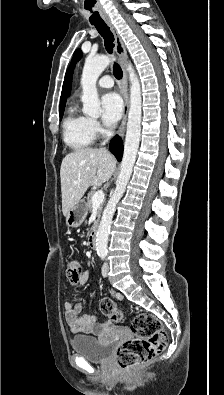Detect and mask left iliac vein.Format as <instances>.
<instances>
[{
	"label": "left iliac vein",
	"mask_w": 224,
	"mask_h": 395,
	"mask_svg": "<svg viewBox=\"0 0 224 395\" xmlns=\"http://www.w3.org/2000/svg\"><path fill=\"white\" fill-rule=\"evenodd\" d=\"M108 273H109V263L107 261H105L103 266H102V275H103V277H107Z\"/></svg>",
	"instance_id": "obj_1"
}]
</instances>
